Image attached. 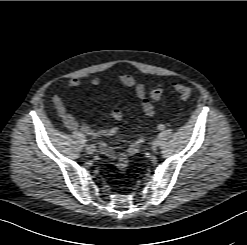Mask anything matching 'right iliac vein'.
I'll use <instances>...</instances> for the list:
<instances>
[{"mask_svg": "<svg viewBox=\"0 0 247 245\" xmlns=\"http://www.w3.org/2000/svg\"><path fill=\"white\" fill-rule=\"evenodd\" d=\"M94 151H95V150L91 149L89 146L86 148V152H87L88 154H90V155L93 154Z\"/></svg>", "mask_w": 247, "mask_h": 245, "instance_id": "63e3f726", "label": "right iliac vein"}]
</instances>
